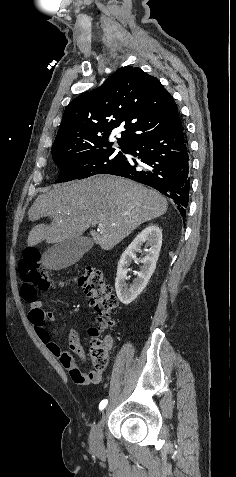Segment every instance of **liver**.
Here are the masks:
<instances>
[{
    "mask_svg": "<svg viewBox=\"0 0 236 477\" xmlns=\"http://www.w3.org/2000/svg\"><path fill=\"white\" fill-rule=\"evenodd\" d=\"M167 201L158 192L128 179L100 175L55 186L37 197L29 210V220L50 217V225L32 228L27 243H59L80 237L88 228L93 241L111 250L139 225L162 216Z\"/></svg>",
    "mask_w": 236,
    "mask_h": 477,
    "instance_id": "6515ba94",
    "label": "liver"
}]
</instances>
